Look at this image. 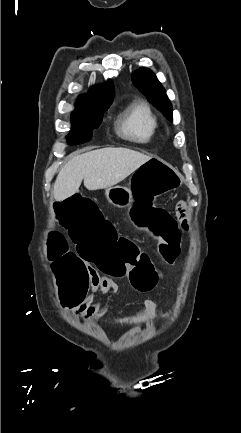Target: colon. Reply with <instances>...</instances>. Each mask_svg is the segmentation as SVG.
<instances>
[{"instance_id": "5ec220e1", "label": "colon", "mask_w": 241, "mask_h": 433, "mask_svg": "<svg viewBox=\"0 0 241 433\" xmlns=\"http://www.w3.org/2000/svg\"><path fill=\"white\" fill-rule=\"evenodd\" d=\"M132 175L130 192L138 195L139 207L127 210L135 218V225H144L147 233L154 235L164 262L174 264L180 253L184 231L179 226V217L166 212L165 207H153L161 195H168L181 185L183 175L173 168L170 161L162 157H146L137 165ZM52 218L59 221L61 229H69L68 238L75 243L77 256L83 257L98 272H107L122 278L129 276L135 289L151 290L157 273L150 257L139 250L131 234L117 230L113 220H105L101 205H94L88 192H73L65 202H52ZM179 251V252H178ZM67 248L62 234H51L48 257L57 272V286L63 302V310H72V305H84L90 292V271L82 259Z\"/></svg>"}]
</instances>
